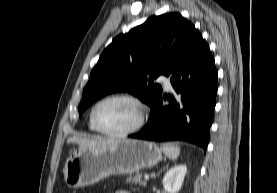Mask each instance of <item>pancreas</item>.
<instances>
[{
    "label": "pancreas",
    "instance_id": "1",
    "mask_svg": "<svg viewBox=\"0 0 277 193\" xmlns=\"http://www.w3.org/2000/svg\"><path fill=\"white\" fill-rule=\"evenodd\" d=\"M143 174H136L135 176H130L127 178V182L129 183H134V184H139L140 186H146L147 182L146 180L142 179Z\"/></svg>",
    "mask_w": 277,
    "mask_h": 193
}]
</instances>
